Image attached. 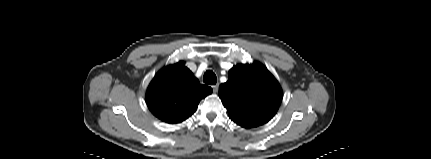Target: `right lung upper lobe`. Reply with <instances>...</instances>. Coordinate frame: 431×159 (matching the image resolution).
I'll use <instances>...</instances> for the list:
<instances>
[{
	"mask_svg": "<svg viewBox=\"0 0 431 159\" xmlns=\"http://www.w3.org/2000/svg\"><path fill=\"white\" fill-rule=\"evenodd\" d=\"M211 93V87L201 85L181 61L156 74L148 87L146 102L157 118L174 124L190 117L200 100Z\"/></svg>",
	"mask_w": 431,
	"mask_h": 159,
	"instance_id": "right-lung-upper-lobe-1",
	"label": "right lung upper lobe"
}]
</instances>
